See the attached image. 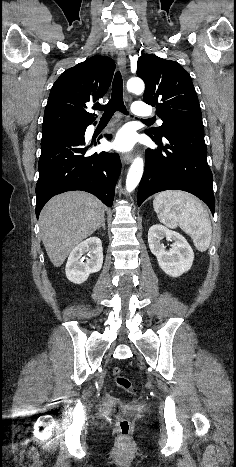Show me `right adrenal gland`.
<instances>
[{"label":"right adrenal gland","mask_w":236,"mask_h":467,"mask_svg":"<svg viewBox=\"0 0 236 467\" xmlns=\"http://www.w3.org/2000/svg\"><path fill=\"white\" fill-rule=\"evenodd\" d=\"M101 227L103 228V230H106L105 218L103 219L102 224H101V226H100L98 229H100Z\"/></svg>","instance_id":"1"}]
</instances>
